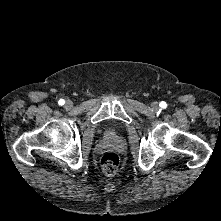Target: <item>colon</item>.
I'll return each mask as SVG.
<instances>
[{"label": "colon", "mask_w": 221, "mask_h": 221, "mask_svg": "<svg viewBox=\"0 0 221 221\" xmlns=\"http://www.w3.org/2000/svg\"><path fill=\"white\" fill-rule=\"evenodd\" d=\"M119 164V157L115 153H106L100 161L101 169L108 177L113 176L117 172Z\"/></svg>", "instance_id": "5ec220e1"}]
</instances>
